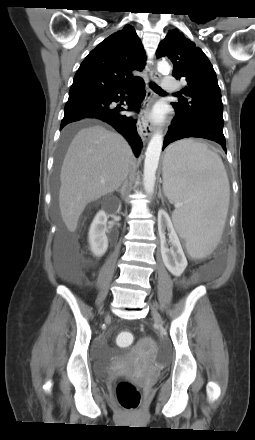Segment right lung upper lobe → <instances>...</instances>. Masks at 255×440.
<instances>
[{"label": "right lung upper lobe", "instance_id": "obj_1", "mask_svg": "<svg viewBox=\"0 0 255 440\" xmlns=\"http://www.w3.org/2000/svg\"><path fill=\"white\" fill-rule=\"evenodd\" d=\"M145 60L135 29L125 25L87 55L75 74L69 97L112 90L139 79L131 72L142 71Z\"/></svg>", "mask_w": 255, "mask_h": 440}]
</instances>
